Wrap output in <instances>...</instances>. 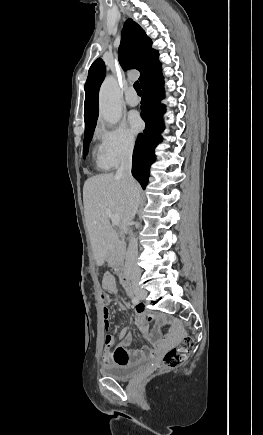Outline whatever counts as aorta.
<instances>
[{"label": "aorta", "mask_w": 263, "mask_h": 435, "mask_svg": "<svg viewBox=\"0 0 263 435\" xmlns=\"http://www.w3.org/2000/svg\"><path fill=\"white\" fill-rule=\"evenodd\" d=\"M99 111L111 125L118 123L122 116L120 91L116 80L109 76L101 85L99 92Z\"/></svg>", "instance_id": "762f6f07"}]
</instances>
